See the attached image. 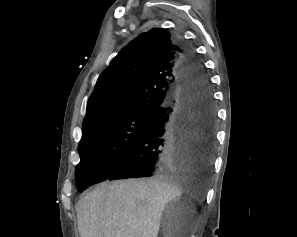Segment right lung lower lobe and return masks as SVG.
<instances>
[{
    "mask_svg": "<svg viewBox=\"0 0 297 237\" xmlns=\"http://www.w3.org/2000/svg\"><path fill=\"white\" fill-rule=\"evenodd\" d=\"M182 82L140 138L97 183L154 175L207 173L213 162L215 108L202 64L181 38Z\"/></svg>",
    "mask_w": 297,
    "mask_h": 237,
    "instance_id": "98d812e1",
    "label": "right lung lower lobe"
}]
</instances>
